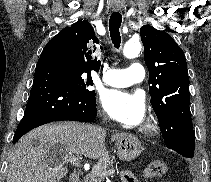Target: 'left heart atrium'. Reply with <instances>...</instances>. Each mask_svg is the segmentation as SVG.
Here are the masks:
<instances>
[{"label": "left heart atrium", "mask_w": 211, "mask_h": 182, "mask_svg": "<svg viewBox=\"0 0 211 182\" xmlns=\"http://www.w3.org/2000/svg\"><path fill=\"white\" fill-rule=\"evenodd\" d=\"M104 110L116 121L126 126H137L145 118L144 99L125 90H106L101 95Z\"/></svg>", "instance_id": "39dd6f15"}]
</instances>
